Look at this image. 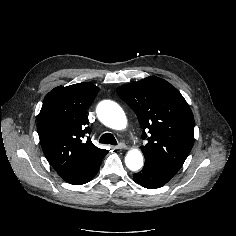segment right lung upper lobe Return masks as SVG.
<instances>
[{
    "instance_id": "1",
    "label": "right lung upper lobe",
    "mask_w": 236,
    "mask_h": 236,
    "mask_svg": "<svg viewBox=\"0 0 236 236\" xmlns=\"http://www.w3.org/2000/svg\"><path fill=\"white\" fill-rule=\"evenodd\" d=\"M99 88L91 83L58 86L44 98L37 131L46 159L68 183L85 177L108 153L90 137L87 109Z\"/></svg>"
}]
</instances>
